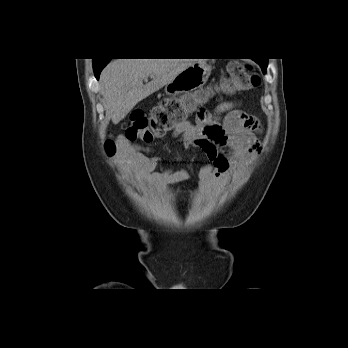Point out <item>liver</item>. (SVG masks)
I'll list each match as a JSON object with an SVG mask.
<instances>
[{"instance_id": "1", "label": "liver", "mask_w": 348, "mask_h": 348, "mask_svg": "<svg viewBox=\"0 0 348 348\" xmlns=\"http://www.w3.org/2000/svg\"><path fill=\"white\" fill-rule=\"evenodd\" d=\"M196 62V59L111 61L100 75V91L105 100L107 115L114 124H118L138 102L167 85L181 71Z\"/></svg>"}]
</instances>
